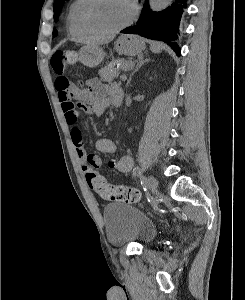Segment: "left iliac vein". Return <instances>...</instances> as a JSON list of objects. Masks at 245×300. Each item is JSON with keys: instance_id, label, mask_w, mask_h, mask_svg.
<instances>
[{"instance_id": "1", "label": "left iliac vein", "mask_w": 245, "mask_h": 300, "mask_svg": "<svg viewBox=\"0 0 245 300\" xmlns=\"http://www.w3.org/2000/svg\"><path fill=\"white\" fill-rule=\"evenodd\" d=\"M147 185H148V187H149V189L151 190L152 193L157 192L158 181L156 180V178H154L153 176H149L147 178Z\"/></svg>"}]
</instances>
